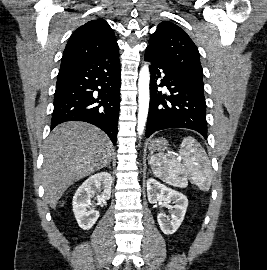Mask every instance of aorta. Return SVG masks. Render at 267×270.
<instances>
[{"instance_id":"aorta-1","label":"aorta","mask_w":267,"mask_h":270,"mask_svg":"<svg viewBox=\"0 0 267 270\" xmlns=\"http://www.w3.org/2000/svg\"><path fill=\"white\" fill-rule=\"evenodd\" d=\"M150 72L148 64H145L140 72L138 79V125L137 132L141 136L143 134L150 102Z\"/></svg>"}]
</instances>
